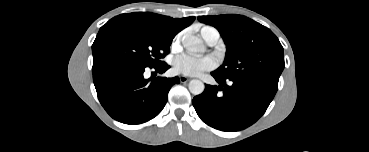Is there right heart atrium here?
<instances>
[{"label":"right heart atrium","instance_id":"d8ad5b80","mask_svg":"<svg viewBox=\"0 0 369 152\" xmlns=\"http://www.w3.org/2000/svg\"><path fill=\"white\" fill-rule=\"evenodd\" d=\"M178 39H179V37H177V38H176V40H175L174 44H176V43L178 42Z\"/></svg>","mask_w":369,"mask_h":152}]
</instances>
